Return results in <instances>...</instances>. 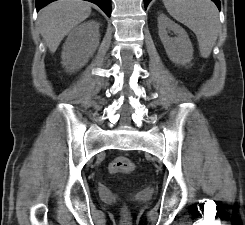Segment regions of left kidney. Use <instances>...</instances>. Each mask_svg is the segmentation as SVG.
<instances>
[{
    "instance_id": "5707ae66",
    "label": "left kidney",
    "mask_w": 245,
    "mask_h": 225,
    "mask_svg": "<svg viewBox=\"0 0 245 225\" xmlns=\"http://www.w3.org/2000/svg\"><path fill=\"white\" fill-rule=\"evenodd\" d=\"M168 30L173 31L177 37L171 38ZM158 34L168 58L173 63L186 65L191 62L193 46L186 31L163 13L158 16Z\"/></svg>"
}]
</instances>
